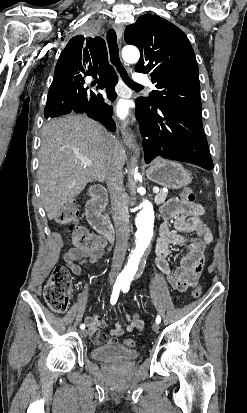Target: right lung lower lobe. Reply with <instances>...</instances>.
<instances>
[{
    "label": "right lung lower lobe",
    "mask_w": 247,
    "mask_h": 413,
    "mask_svg": "<svg viewBox=\"0 0 247 413\" xmlns=\"http://www.w3.org/2000/svg\"><path fill=\"white\" fill-rule=\"evenodd\" d=\"M117 81L116 74L99 77V87L106 88L107 95L111 100H114L117 96L114 90ZM62 82L72 83L75 90L66 97L47 100L44 111L46 119L70 112L86 113L90 118L101 122L110 131L116 130L115 122L112 119V108L103 102L102 95L87 91L88 87H84V76L69 77Z\"/></svg>",
    "instance_id": "98d812e1"
}]
</instances>
